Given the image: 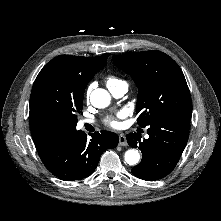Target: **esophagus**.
I'll list each match as a JSON object with an SVG mask.
<instances>
[{
	"label": "esophagus",
	"instance_id": "1",
	"mask_svg": "<svg viewBox=\"0 0 221 221\" xmlns=\"http://www.w3.org/2000/svg\"><path fill=\"white\" fill-rule=\"evenodd\" d=\"M119 145L120 146H126L127 145L126 137L123 134L119 135Z\"/></svg>",
	"mask_w": 221,
	"mask_h": 221
}]
</instances>
